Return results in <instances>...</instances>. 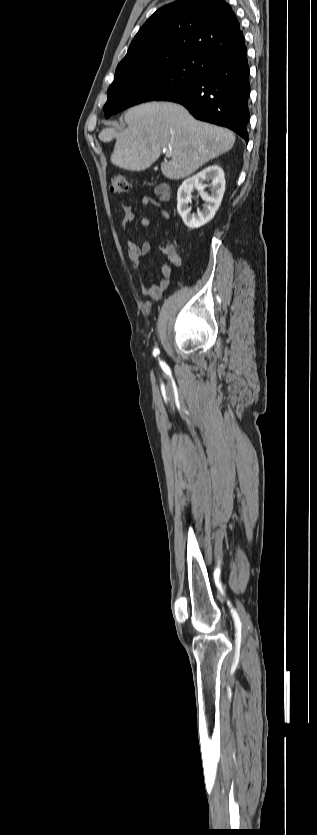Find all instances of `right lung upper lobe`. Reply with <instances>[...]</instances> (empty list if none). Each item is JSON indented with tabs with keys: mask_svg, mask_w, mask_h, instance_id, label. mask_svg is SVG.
Returning a JSON list of instances; mask_svg holds the SVG:
<instances>
[{
	"mask_svg": "<svg viewBox=\"0 0 317 835\" xmlns=\"http://www.w3.org/2000/svg\"><path fill=\"white\" fill-rule=\"evenodd\" d=\"M240 32L224 0H178L157 10L140 28L115 76L195 58Z\"/></svg>",
	"mask_w": 317,
	"mask_h": 835,
	"instance_id": "right-lung-upper-lobe-1",
	"label": "right lung upper lobe"
}]
</instances>
